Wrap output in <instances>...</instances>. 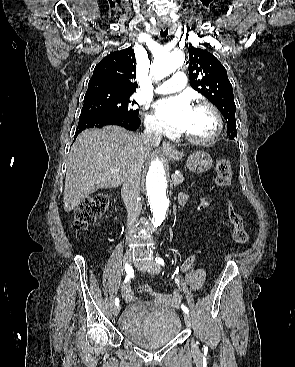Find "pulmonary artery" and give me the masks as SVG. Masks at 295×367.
Instances as JSON below:
<instances>
[{"instance_id":"e3ab8cb5","label":"pulmonary artery","mask_w":295,"mask_h":367,"mask_svg":"<svg viewBox=\"0 0 295 367\" xmlns=\"http://www.w3.org/2000/svg\"><path fill=\"white\" fill-rule=\"evenodd\" d=\"M187 77L186 74L182 71H177L173 74V76L163 83L159 84L155 92L158 94H168L177 92L183 89L186 86Z\"/></svg>"}]
</instances>
